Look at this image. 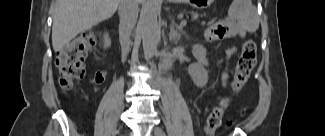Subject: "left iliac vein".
<instances>
[{
    "instance_id": "left-iliac-vein-1",
    "label": "left iliac vein",
    "mask_w": 325,
    "mask_h": 136,
    "mask_svg": "<svg viewBox=\"0 0 325 136\" xmlns=\"http://www.w3.org/2000/svg\"><path fill=\"white\" fill-rule=\"evenodd\" d=\"M159 132H160V128H159V127H155V128L153 129V134H154V136H161V135L159 134Z\"/></svg>"
}]
</instances>
